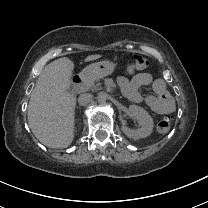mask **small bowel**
Returning a JSON list of instances; mask_svg holds the SVG:
<instances>
[{"instance_id": "c3829d8e", "label": "small bowel", "mask_w": 208, "mask_h": 208, "mask_svg": "<svg viewBox=\"0 0 208 208\" xmlns=\"http://www.w3.org/2000/svg\"><path fill=\"white\" fill-rule=\"evenodd\" d=\"M118 85L128 100L134 103L145 102L157 114L167 115L175 110L174 101L161 78L154 79L149 73H139L131 79L120 76ZM144 86H151L155 95L143 97L139 92V88Z\"/></svg>"}]
</instances>
